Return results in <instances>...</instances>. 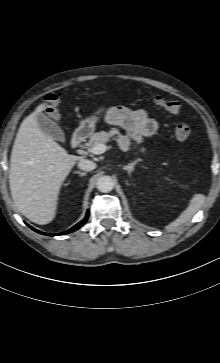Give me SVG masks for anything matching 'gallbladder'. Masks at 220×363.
<instances>
[{"label":"gallbladder","mask_w":220,"mask_h":363,"mask_svg":"<svg viewBox=\"0 0 220 363\" xmlns=\"http://www.w3.org/2000/svg\"><path fill=\"white\" fill-rule=\"evenodd\" d=\"M41 130L51 136L53 139L64 143L66 141L65 133L61 127L46 115L40 113L36 116Z\"/></svg>","instance_id":"obj_1"}]
</instances>
